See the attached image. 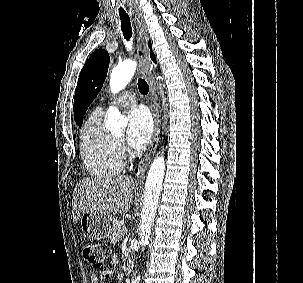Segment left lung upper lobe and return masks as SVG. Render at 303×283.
Returning <instances> with one entry per match:
<instances>
[{
	"label": "left lung upper lobe",
	"mask_w": 303,
	"mask_h": 283,
	"mask_svg": "<svg viewBox=\"0 0 303 283\" xmlns=\"http://www.w3.org/2000/svg\"><path fill=\"white\" fill-rule=\"evenodd\" d=\"M149 47L151 44L149 42ZM109 55L103 49H98L89 57L81 70L74 100V118L79 127L83 116L102 88L107 76Z\"/></svg>",
	"instance_id": "obj_1"
}]
</instances>
